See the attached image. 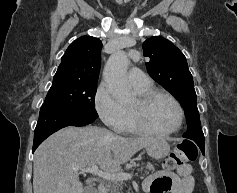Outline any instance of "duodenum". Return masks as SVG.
<instances>
[{
  "label": "duodenum",
  "instance_id": "duodenum-1",
  "mask_svg": "<svg viewBox=\"0 0 237 193\" xmlns=\"http://www.w3.org/2000/svg\"><path fill=\"white\" fill-rule=\"evenodd\" d=\"M98 193H105L104 187L102 185L98 186Z\"/></svg>",
  "mask_w": 237,
  "mask_h": 193
}]
</instances>
